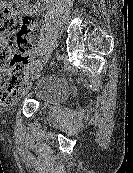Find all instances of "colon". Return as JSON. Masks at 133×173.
Masks as SVG:
<instances>
[{"label":"colon","instance_id":"1","mask_svg":"<svg viewBox=\"0 0 133 173\" xmlns=\"http://www.w3.org/2000/svg\"><path fill=\"white\" fill-rule=\"evenodd\" d=\"M33 21L0 5V103H12L23 88L22 62L32 48Z\"/></svg>","mask_w":133,"mask_h":173}]
</instances>
